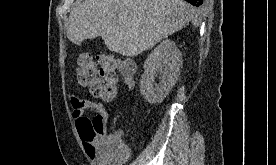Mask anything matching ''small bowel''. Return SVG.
Returning <instances> with one entry per match:
<instances>
[{
    "instance_id": "obj_1",
    "label": "small bowel",
    "mask_w": 276,
    "mask_h": 165,
    "mask_svg": "<svg viewBox=\"0 0 276 165\" xmlns=\"http://www.w3.org/2000/svg\"><path fill=\"white\" fill-rule=\"evenodd\" d=\"M70 103L73 109L72 114L76 120V124H78L82 117H87L86 114L88 112L95 113L93 121L100 124L103 133L106 136L112 137L118 142L119 148L122 151V155L111 152L107 149L106 142L102 140L93 146H88L84 143V147L88 156L98 165H121L123 162H125L129 156V149L123 141L124 131L119 129L112 134L107 132L106 125L110 119V114L107 108L102 103L86 99H79L75 96L70 98Z\"/></svg>"
}]
</instances>
